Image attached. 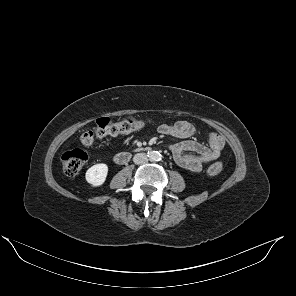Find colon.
I'll use <instances>...</instances> for the list:
<instances>
[{
	"mask_svg": "<svg viewBox=\"0 0 296 296\" xmlns=\"http://www.w3.org/2000/svg\"><path fill=\"white\" fill-rule=\"evenodd\" d=\"M149 119L124 117L121 120L113 121L110 118H100L94 126L87 129L80 137L81 143L90 145L105 136L118 135L140 129L149 123ZM62 168L67 176L77 175L87 162V153L81 148L65 150L61 157ZM223 170V165L216 162L209 166L208 174L219 175Z\"/></svg>",
	"mask_w": 296,
	"mask_h": 296,
	"instance_id": "1",
	"label": "colon"
}]
</instances>
